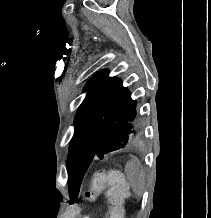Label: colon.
<instances>
[{
	"mask_svg": "<svg viewBox=\"0 0 211 218\" xmlns=\"http://www.w3.org/2000/svg\"><path fill=\"white\" fill-rule=\"evenodd\" d=\"M102 193L108 201L105 218H124V202L129 195V189L120 170H98L92 174L88 198L95 200Z\"/></svg>",
	"mask_w": 211,
	"mask_h": 218,
	"instance_id": "1",
	"label": "colon"
}]
</instances>
